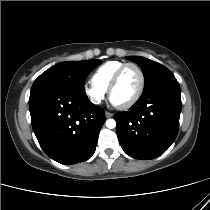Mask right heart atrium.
<instances>
[{
    "label": "right heart atrium",
    "mask_w": 210,
    "mask_h": 210,
    "mask_svg": "<svg viewBox=\"0 0 210 210\" xmlns=\"http://www.w3.org/2000/svg\"><path fill=\"white\" fill-rule=\"evenodd\" d=\"M83 92L89 101L95 105L100 104L106 95V91L94 85L93 83H85L83 85Z\"/></svg>",
    "instance_id": "d8ad5b80"
}]
</instances>
